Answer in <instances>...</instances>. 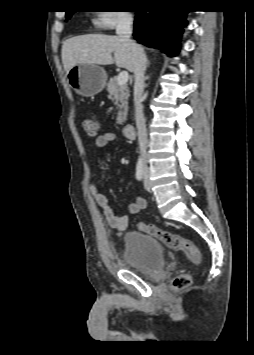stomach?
Listing matches in <instances>:
<instances>
[{
  "label": "stomach",
  "mask_w": 254,
  "mask_h": 355,
  "mask_svg": "<svg viewBox=\"0 0 254 355\" xmlns=\"http://www.w3.org/2000/svg\"><path fill=\"white\" fill-rule=\"evenodd\" d=\"M71 88L83 97H91L101 92L106 84L107 75L97 64L81 63L67 73Z\"/></svg>",
  "instance_id": "stomach-1"
}]
</instances>
